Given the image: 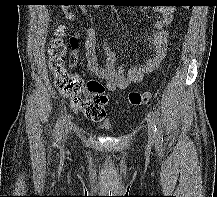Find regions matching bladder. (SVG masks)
<instances>
[{
  "label": "bladder",
  "mask_w": 217,
  "mask_h": 197,
  "mask_svg": "<svg viewBox=\"0 0 217 197\" xmlns=\"http://www.w3.org/2000/svg\"><path fill=\"white\" fill-rule=\"evenodd\" d=\"M103 127L106 128V129H109V130L112 129V125H104Z\"/></svg>",
  "instance_id": "1"
}]
</instances>
